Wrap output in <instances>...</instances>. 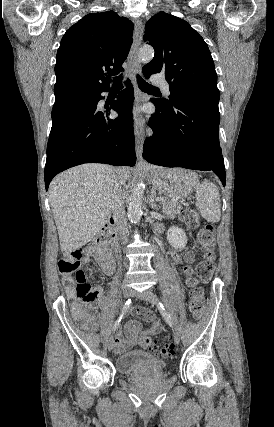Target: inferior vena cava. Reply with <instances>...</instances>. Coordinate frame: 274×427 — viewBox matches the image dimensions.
I'll use <instances>...</instances> for the list:
<instances>
[{
    "mask_svg": "<svg viewBox=\"0 0 274 427\" xmlns=\"http://www.w3.org/2000/svg\"><path fill=\"white\" fill-rule=\"evenodd\" d=\"M122 184L124 182H118L116 190H114L111 198V206L113 210V215L116 223V227L120 233V237L123 243H126L129 235L126 215H125V198L122 192Z\"/></svg>",
    "mask_w": 274,
    "mask_h": 427,
    "instance_id": "1",
    "label": "inferior vena cava"
}]
</instances>
